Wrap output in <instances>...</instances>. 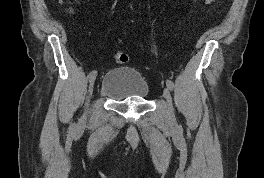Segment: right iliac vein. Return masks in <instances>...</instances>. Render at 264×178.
<instances>
[{"mask_svg": "<svg viewBox=\"0 0 264 178\" xmlns=\"http://www.w3.org/2000/svg\"><path fill=\"white\" fill-rule=\"evenodd\" d=\"M95 78H96V77H93L92 79H90L89 89H88L89 95H91L92 92H93L94 83H95Z\"/></svg>", "mask_w": 264, "mask_h": 178, "instance_id": "1", "label": "right iliac vein"}]
</instances>
